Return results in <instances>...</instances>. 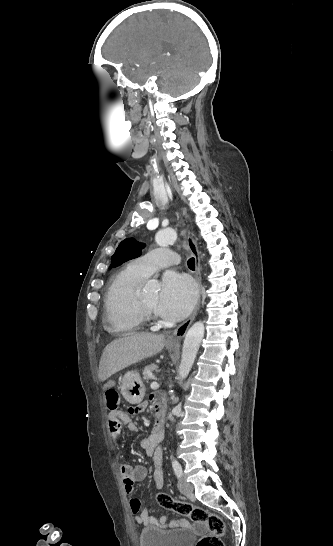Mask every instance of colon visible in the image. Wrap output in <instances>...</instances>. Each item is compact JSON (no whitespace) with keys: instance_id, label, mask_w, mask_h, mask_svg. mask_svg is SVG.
I'll return each mask as SVG.
<instances>
[{"instance_id":"colon-1","label":"colon","mask_w":333,"mask_h":546,"mask_svg":"<svg viewBox=\"0 0 333 546\" xmlns=\"http://www.w3.org/2000/svg\"><path fill=\"white\" fill-rule=\"evenodd\" d=\"M106 401L110 410H116L120 401L118 392L116 390H108L106 392ZM156 500L162 508L187 516L193 522L207 526L208 534L202 537L196 546H224L222 538L225 534V524L219 515L209 513L205 509L191 503L175 500L166 493L157 494Z\"/></svg>"}]
</instances>
